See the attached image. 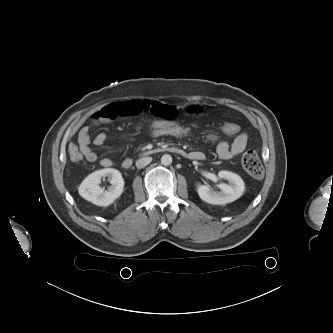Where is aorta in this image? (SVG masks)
<instances>
[{
    "label": "aorta",
    "mask_w": 333,
    "mask_h": 333,
    "mask_svg": "<svg viewBox=\"0 0 333 333\" xmlns=\"http://www.w3.org/2000/svg\"><path fill=\"white\" fill-rule=\"evenodd\" d=\"M161 163H162L164 166H169V165L172 163V157H171V155H169V154H164V155L161 157Z\"/></svg>",
    "instance_id": "aorta-1"
}]
</instances>
